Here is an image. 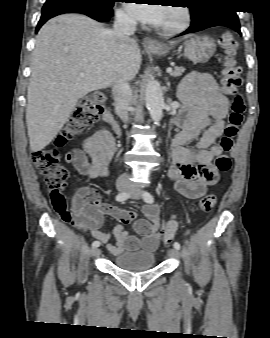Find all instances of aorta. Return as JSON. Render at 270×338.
<instances>
[{
    "label": "aorta",
    "instance_id": "1",
    "mask_svg": "<svg viewBox=\"0 0 270 338\" xmlns=\"http://www.w3.org/2000/svg\"><path fill=\"white\" fill-rule=\"evenodd\" d=\"M146 106L150 117L155 124H158L163 116L164 97L159 83L155 80H149L145 89Z\"/></svg>",
    "mask_w": 270,
    "mask_h": 338
}]
</instances>
